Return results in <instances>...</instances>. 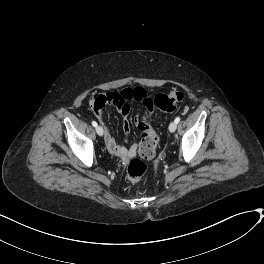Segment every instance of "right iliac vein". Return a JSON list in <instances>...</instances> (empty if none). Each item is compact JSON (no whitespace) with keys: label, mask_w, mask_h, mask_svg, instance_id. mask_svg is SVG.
I'll return each instance as SVG.
<instances>
[{"label":"right iliac vein","mask_w":264,"mask_h":264,"mask_svg":"<svg viewBox=\"0 0 264 264\" xmlns=\"http://www.w3.org/2000/svg\"><path fill=\"white\" fill-rule=\"evenodd\" d=\"M96 132L99 136H103L104 134L103 128L101 126L96 127Z\"/></svg>","instance_id":"1"}]
</instances>
